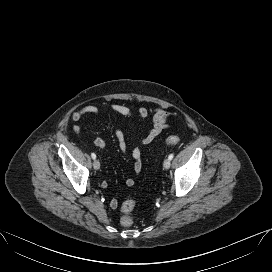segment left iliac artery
<instances>
[{
	"label": "left iliac artery",
	"mask_w": 272,
	"mask_h": 272,
	"mask_svg": "<svg viewBox=\"0 0 272 272\" xmlns=\"http://www.w3.org/2000/svg\"><path fill=\"white\" fill-rule=\"evenodd\" d=\"M168 158H169L170 160H172V159L174 158V154H173V153L170 154V155L168 156Z\"/></svg>",
	"instance_id": "left-iliac-artery-1"
}]
</instances>
